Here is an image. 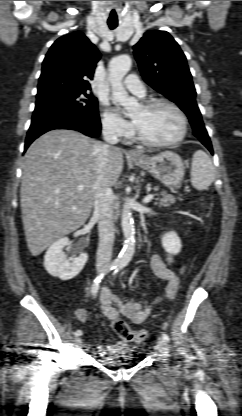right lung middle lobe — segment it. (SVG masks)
I'll list each match as a JSON object with an SVG mask.
<instances>
[{
	"label": "right lung middle lobe",
	"mask_w": 242,
	"mask_h": 416,
	"mask_svg": "<svg viewBox=\"0 0 242 416\" xmlns=\"http://www.w3.org/2000/svg\"><path fill=\"white\" fill-rule=\"evenodd\" d=\"M46 112L66 113L87 120L98 115V102L85 90L63 88L37 96L33 118Z\"/></svg>",
	"instance_id": "obj_1"
}]
</instances>
